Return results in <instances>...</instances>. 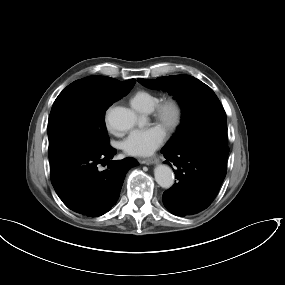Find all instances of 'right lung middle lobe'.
<instances>
[{
  "mask_svg": "<svg viewBox=\"0 0 285 285\" xmlns=\"http://www.w3.org/2000/svg\"><path fill=\"white\" fill-rule=\"evenodd\" d=\"M128 93L97 76L68 85L54 101L49 116L50 164L73 152L106 148L105 112Z\"/></svg>",
  "mask_w": 285,
  "mask_h": 285,
  "instance_id": "1",
  "label": "right lung middle lobe"
}]
</instances>
